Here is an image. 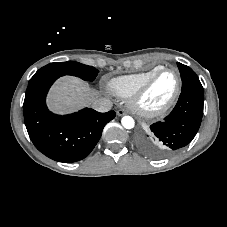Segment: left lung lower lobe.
Segmentation results:
<instances>
[{"label": "left lung lower lobe", "mask_w": 227, "mask_h": 227, "mask_svg": "<svg viewBox=\"0 0 227 227\" xmlns=\"http://www.w3.org/2000/svg\"><path fill=\"white\" fill-rule=\"evenodd\" d=\"M203 91L181 90L178 102L162 122L153 123L137 136L139 148L149 156L173 154L195 137L203 116Z\"/></svg>", "instance_id": "obj_1"}]
</instances>
